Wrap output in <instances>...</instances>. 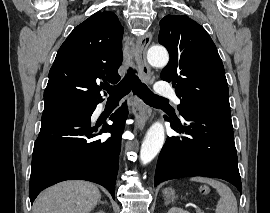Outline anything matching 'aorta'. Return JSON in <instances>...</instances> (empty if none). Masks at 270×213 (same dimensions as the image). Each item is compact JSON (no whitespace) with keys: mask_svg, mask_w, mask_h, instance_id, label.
Here are the masks:
<instances>
[{"mask_svg":"<svg viewBox=\"0 0 270 213\" xmlns=\"http://www.w3.org/2000/svg\"><path fill=\"white\" fill-rule=\"evenodd\" d=\"M148 62L163 68L169 61L167 50L161 46H153L147 52ZM165 141V129L162 123L155 122L147 131L140 150V160L143 165L151 162L161 150Z\"/></svg>","mask_w":270,"mask_h":213,"instance_id":"762f6f07","label":"aorta"}]
</instances>
